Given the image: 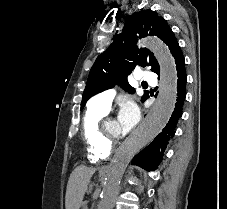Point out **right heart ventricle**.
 Listing matches in <instances>:
<instances>
[{
  "label": "right heart ventricle",
  "mask_w": 227,
  "mask_h": 209,
  "mask_svg": "<svg viewBox=\"0 0 227 209\" xmlns=\"http://www.w3.org/2000/svg\"><path fill=\"white\" fill-rule=\"evenodd\" d=\"M108 109L92 106L83 116L80 134L87 146V158L90 163L101 165L111 156L112 148L99 138L98 125L106 116Z\"/></svg>",
  "instance_id": "e07e8e85"
}]
</instances>
